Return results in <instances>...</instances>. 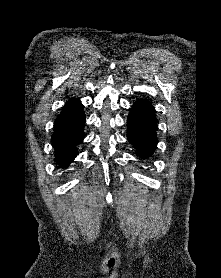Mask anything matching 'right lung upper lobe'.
Here are the masks:
<instances>
[{"mask_svg": "<svg viewBox=\"0 0 221 278\" xmlns=\"http://www.w3.org/2000/svg\"><path fill=\"white\" fill-rule=\"evenodd\" d=\"M83 109L82 104L78 99H70L64 106L62 112L59 114L55 121V125L60 124L81 112Z\"/></svg>", "mask_w": 221, "mask_h": 278, "instance_id": "cb5924a9", "label": "right lung upper lobe"}]
</instances>
